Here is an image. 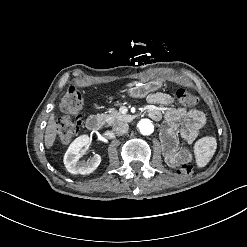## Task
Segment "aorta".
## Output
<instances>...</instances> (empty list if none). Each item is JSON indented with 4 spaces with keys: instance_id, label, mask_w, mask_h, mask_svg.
Segmentation results:
<instances>
[{
    "instance_id": "aorta-1",
    "label": "aorta",
    "mask_w": 247,
    "mask_h": 247,
    "mask_svg": "<svg viewBox=\"0 0 247 247\" xmlns=\"http://www.w3.org/2000/svg\"><path fill=\"white\" fill-rule=\"evenodd\" d=\"M138 128L143 135H150L154 131V125L149 119H141L138 123Z\"/></svg>"
}]
</instances>
